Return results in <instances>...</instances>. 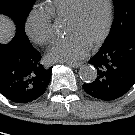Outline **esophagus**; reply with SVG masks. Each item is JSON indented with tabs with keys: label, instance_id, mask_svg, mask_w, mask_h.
Here are the masks:
<instances>
[{
	"label": "esophagus",
	"instance_id": "1",
	"mask_svg": "<svg viewBox=\"0 0 135 135\" xmlns=\"http://www.w3.org/2000/svg\"><path fill=\"white\" fill-rule=\"evenodd\" d=\"M70 67L72 68H78L81 66L82 63L80 62H75V63H67Z\"/></svg>",
	"mask_w": 135,
	"mask_h": 135
}]
</instances>
